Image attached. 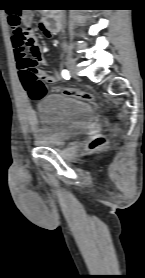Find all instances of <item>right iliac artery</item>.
Wrapping results in <instances>:
<instances>
[{
  "instance_id": "82829eb1",
  "label": "right iliac artery",
  "mask_w": 145,
  "mask_h": 278,
  "mask_svg": "<svg viewBox=\"0 0 145 278\" xmlns=\"http://www.w3.org/2000/svg\"><path fill=\"white\" fill-rule=\"evenodd\" d=\"M61 75L64 79H69L70 78V73H69L68 70H63Z\"/></svg>"
}]
</instances>
